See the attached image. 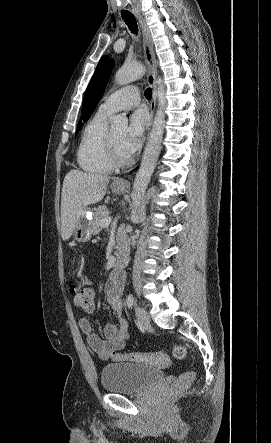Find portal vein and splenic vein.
<instances>
[{
    "label": "portal vein and splenic vein",
    "mask_w": 271,
    "mask_h": 443,
    "mask_svg": "<svg viewBox=\"0 0 271 443\" xmlns=\"http://www.w3.org/2000/svg\"><path fill=\"white\" fill-rule=\"evenodd\" d=\"M111 220L112 218H104V220H101L100 225H103V227H107V225H109Z\"/></svg>",
    "instance_id": "obj_1"
}]
</instances>
